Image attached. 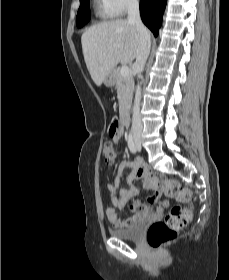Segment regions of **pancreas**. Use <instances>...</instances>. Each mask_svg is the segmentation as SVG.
I'll return each instance as SVG.
<instances>
[{
	"mask_svg": "<svg viewBox=\"0 0 229 280\" xmlns=\"http://www.w3.org/2000/svg\"><path fill=\"white\" fill-rule=\"evenodd\" d=\"M115 76L117 95L119 99V112L123 113L131 101L134 82L131 75L125 77L122 76L119 68L115 70Z\"/></svg>",
	"mask_w": 229,
	"mask_h": 280,
	"instance_id": "obj_1",
	"label": "pancreas"
}]
</instances>
